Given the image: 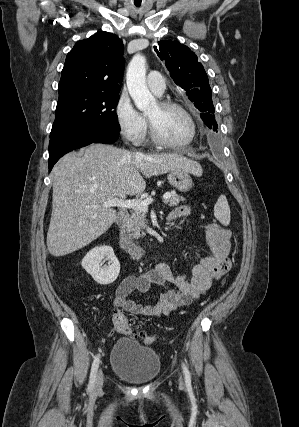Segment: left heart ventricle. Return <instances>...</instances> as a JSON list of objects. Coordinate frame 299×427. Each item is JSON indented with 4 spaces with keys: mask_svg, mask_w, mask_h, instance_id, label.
Masks as SVG:
<instances>
[{
    "mask_svg": "<svg viewBox=\"0 0 299 427\" xmlns=\"http://www.w3.org/2000/svg\"><path fill=\"white\" fill-rule=\"evenodd\" d=\"M147 117L153 122L158 133L168 141L183 142L190 135V124L178 110L161 108L158 104L152 107Z\"/></svg>",
    "mask_w": 299,
    "mask_h": 427,
    "instance_id": "b2bd125f",
    "label": "left heart ventricle"
}]
</instances>
